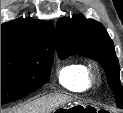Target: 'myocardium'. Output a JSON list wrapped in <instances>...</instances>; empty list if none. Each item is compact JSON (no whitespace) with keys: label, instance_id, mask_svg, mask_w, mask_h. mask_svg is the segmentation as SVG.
I'll return each instance as SVG.
<instances>
[{"label":"myocardium","instance_id":"1","mask_svg":"<svg viewBox=\"0 0 123 113\" xmlns=\"http://www.w3.org/2000/svg\"><path fill=\"white\" fill-rule=\"evenodd\" d=\"M98 80V74L96 70H89L88 72V84L89 85H94Z\"/></svg>","mask_w":123,"mask_h":113}]
</instances>
